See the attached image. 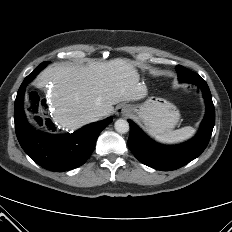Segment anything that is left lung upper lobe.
I'll use <instances>...</instances> for the list:
<instances>
[{"label": "left lung upper lobe", "mask_w": 232, "mask_h": 232, "mask_svg": "<svg viewBox=\"0 0 232 232\" xmlns=\"http://www.w3.org/2000/svg\"><path fill=\"white\" fill-rule=\"evenodd\" d=\"M176 68H177V72H178L179 81H180V82H183V81H184L185 74L182 73V69H180L178 66H177Z\"/></svg>", "instance_id": "5c2ea615"}]
</instances>
